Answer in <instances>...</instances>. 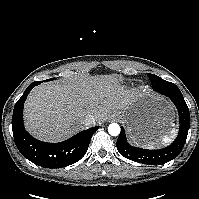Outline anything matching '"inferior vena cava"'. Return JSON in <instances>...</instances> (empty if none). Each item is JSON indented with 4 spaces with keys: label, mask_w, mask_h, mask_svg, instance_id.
Returning a JSON list of instances; mask_svg holds the SVG:
<instances>
[{
    "label": "inferior vena cava",
    "mask_w": 199,
    "mask_h": 199,
    "mask_svg": "<svg viewBox=\"0 0 199 199\" xmlns=\"http://www.w3.org/2000/svg\"><path fill=\"white\" fill-rule=\"evenodd\" d=\"M83 123H84V125H85L86 127H90V126L95 125L96 119H95V117H94L93 115L88 114V115L85 117Z\"/></svg>",
    "instance_id": "inferior-vena-cava-1"
}]
</instances>
